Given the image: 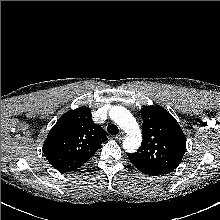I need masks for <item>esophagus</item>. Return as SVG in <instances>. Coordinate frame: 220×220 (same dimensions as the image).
<instances>
[{
    "mask_svg": "<svg viewBox=\"0 0 220 220\" xmlns=\"http://www.w3.org/2000/svg\"><path fill=\"white\" fill-rule=\"evenodd\" d=\"M124 137H125L124 133H120L119 135H116V136H115V139H116L117 141H121V140L124 139Z\"/></svg>",
    "mask_w": 220,
    "mask_h": 220,
    "instance_id": "obj_1",
    "label": "esophagus"
}]
</instances>
